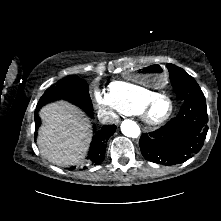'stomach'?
Returning <instances> with one entry per match:
<instances>
[{"instance_id": "stomach-1", "label": "stomach", "mask_w": 221, "mask_h": 221, "mask_svg": "<svg viewBox=\"0 0 221 221\" xmlns=\"http://www.w3.org/2000/svg\"><path fill=\"white\" fill-rule=\"evenodd\" d=\"M127 79L132 84L160 88L167 83L168 74L161 65L150 64L145 68H130L127 72Z\"/></svg>"}]
</instances>
